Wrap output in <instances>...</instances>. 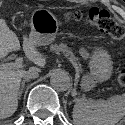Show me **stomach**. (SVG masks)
<instances>
[{"label":"stomach","mask_w":125,"mask_h":125,"mask_svg":"<svg viewBox=\"0 0 125 125\" xmlns=\"http://www.w3.org/2000/svg\"><path fill=\"white\" fill-rule=\"evenodd\" d=\"M71 13H68L70 15ZM30 39L36 46H44L52 43L59 30L57 18L47 9L35 10L30 18ZM89 58L90 74L82 79L81 86L89 91L95 86L96 82H103L111 77L113 63L111 56L102 47L94 48Z\"/></svg>","instance_id":"1"}]
</instances>
